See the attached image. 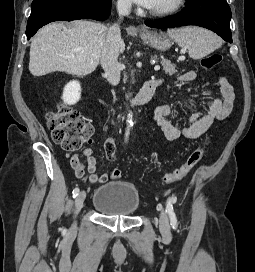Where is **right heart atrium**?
<instances>
[{"mask_svg":"<svg viewBox=\"0 0 255 272\" xmlns=\"http://www.w3.org/2000/svg\"><path fill=\"white\" fill-rule=\"evenodd\" d=\"M117 6L122 11H128L131 7L129 0H117Z\"/></svg>","mask_w":255,"mask_h":272,"instance_id":"right-heart-atrium-1","label":"right heart atrium"}]
</instances>
